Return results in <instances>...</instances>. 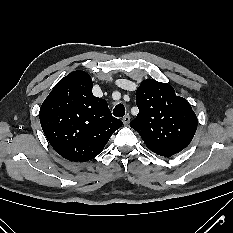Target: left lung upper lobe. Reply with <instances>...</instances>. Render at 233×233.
Segmentation results:
<instances>
[{
    "label": "left lung upper lobe",
    "mask_w": 233,
    "mask_h": 233,
    "mask_svg": "<svg viewBox=\"0 0 233 233\" xmlns=\"http://www.w3.org/2000/svg\"><path fill=\"white\" fill-rule=\"evenodd\" d=\"M139 113L130 123L154 153L171 157L182 151L197 129L191 105L167 83L142 81L136 91Z\"/></svg>",
    "instance_id": "1"
}]
</instances>
